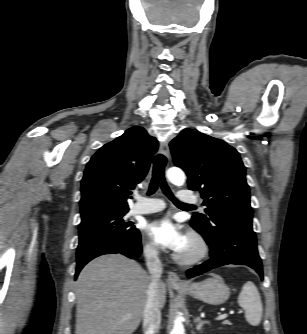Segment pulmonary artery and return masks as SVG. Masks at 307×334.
<instances>
[{"label":"pulmonary artery","mask_w":307,"mask_h":334,"mask_svg":"<svg viewBox=\"0 0 307 334\" xmlns=\"http://www.w3.org/2000/svg\"><path fill=\"white\" fill-rule=\"evenodd\" d=\"M177 198L180 201L196 203L198 199L196 197H190L186 195V190H180L177 193ZM165 208V202L160 198H145L141 196L136 197V202L132 208V212L135 214H149L161 211Z\"/></svg>","instance_id":"obj_1"}]
</instances>
